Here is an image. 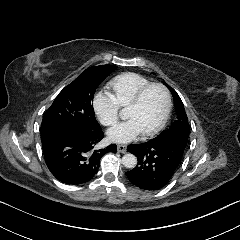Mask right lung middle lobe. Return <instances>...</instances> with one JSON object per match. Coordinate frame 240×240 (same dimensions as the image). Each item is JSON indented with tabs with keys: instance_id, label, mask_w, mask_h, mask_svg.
<instances>
[{
	"instance_id": "1",
	"label": "right lung middle lobe",
	"mask_w": 240,
	"mask_h": 240,
	"mask_svg": "<svg viewBox=\"0 0 240 240\" xmlns=\"http://www.w3.org/2000/svg\"><path fill=\"white\" fill-rule=\"evenodd\" d=\"M116 68L113 65L90 67L66 86L44 115L41 137L75 128L100 129L92 100L99 84Z\"/></svg>"
}]
</instances>
